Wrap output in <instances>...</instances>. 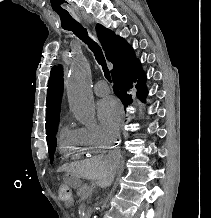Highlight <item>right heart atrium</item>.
<instances>
[{
	"label": "right heart atrium",
	"mask_w": 211,
	"mask_h": 218,
	"mask_svg": "<svg viewBox=\"0 0 211 218\" xmlns=\"http://www.w3.org/2000/svg\"><path fill=\"white\" fill-rule=\"evenodd\" d=\"M76 130L86 143L96 147H106L113 141L111 133L96 122H90Z\"/></svg>",
	"instance_id": "1"
}]
</instances>
